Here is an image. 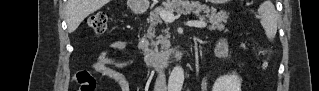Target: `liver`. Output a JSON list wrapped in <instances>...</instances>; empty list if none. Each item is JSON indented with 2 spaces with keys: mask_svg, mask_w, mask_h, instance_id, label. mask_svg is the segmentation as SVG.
<instances>
[{
  "mask_svg": "<svg viewBox=\"0 0 319 91\" xmlns=\"http://www.w3.org/2000/svg\"><path fill=\"white\" fill-rule=\"evenodd\" d=\"M108 2L109 0H68V29L71 32L75 31L87 16L99 10Z\"/></svg>",
  "mask_w": 319,
  "mask_h": 91,
  "instance_id": "1",
  "label": "liver"
}]
</instances>
